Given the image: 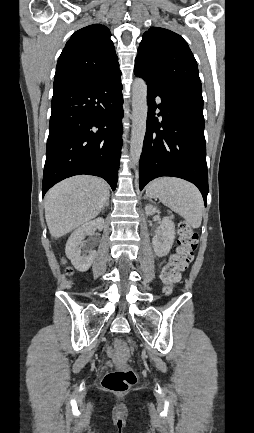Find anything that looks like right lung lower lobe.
I'll return each mask as SVG.
<instances>
[{
    "instance_id": "right-lung-lower-lobe-1",
    "label": "right lung lower lobe",
    "mask_w": 254,
    "mask_h": 433,
    "mask_svg": "<svg viewBox=\"0 0 254 433\" xmlns=\"http://www.w3.org/2000/svg\"><path fill=\"white\" fill-rule=\"evenodd\" d=\"M121 74L54 87L42 192L79 174L115 190L122 147Z\"/></svg>"
}]
</instances>
